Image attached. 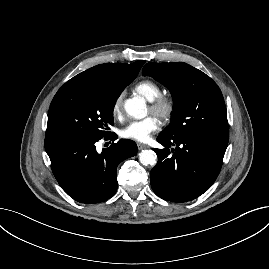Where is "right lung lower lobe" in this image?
Segmentation results:
<instances>
[{"mask_svg":"<svg viewBox=\"0 0 269 269\" xmlns=\"http://www.w3.org/2000/svg\"><path fill=\"white\" fill-rule=\"evenodd\" d=\"M114 138L115 133L104 137ZM100 139L76 134L45 138V150L56 180L79 203L95 204L111 198L117 190L118 164L137 153L135 142L124 139L98 153L95 144Z\"/></svg>","mask_w":269,"mask_h":269,"instance_id":"1","label":"right lung lower lobe"}]
</instances>
